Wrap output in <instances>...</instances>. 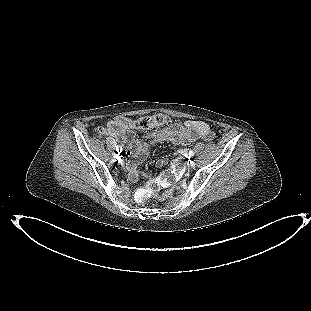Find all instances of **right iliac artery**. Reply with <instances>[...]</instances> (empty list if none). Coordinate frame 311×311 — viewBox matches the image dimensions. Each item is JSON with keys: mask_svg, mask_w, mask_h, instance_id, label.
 Masks as SVG:
<instances>
[{"mask_svg": "<svg viewBox=\"0 0 311 311\" xmlns=\"http://www.w3.org/2000/svg\"><path fill=\"white\" fill-rule=\"evenodd\" d=\"M116 151L120 153V152L122 151V147H121L120 145H117V146H116ZM115 157H116V156H115Z\"/></svg>", "mask_w": 311, "mask_h": 311, "instance_id": "82829eb1", "label": "right iliac artery"}]
</instances>
